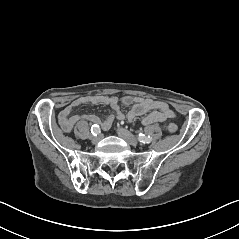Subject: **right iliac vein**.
I'll return each mask as SVG.
<instances>
[{
  "instance_id": "obj_1",
  "label": "right iliac vein",
  "mask_w": 239,
  "mask_h": 239,
  "mask_svg": "<svg viewBox=\"0 0 239 239\" xmlns=\"http://www.w3.org/2000/svg\"><path fill=\"white\" fill-rule=\"evenodd\" d=\"M101 139V136L95 137V136H90V140L92 143H97Z\"/></svg>"
}]
</instances>
